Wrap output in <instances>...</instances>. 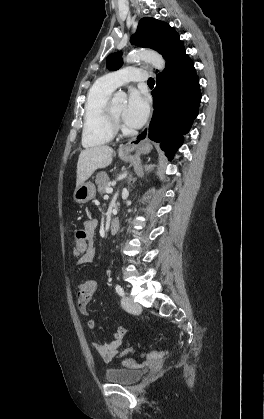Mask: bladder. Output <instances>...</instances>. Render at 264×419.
Listing matches in <instances>:
<instances>
[{
    "label": "bladder",
    "mask_w": 264,
    "mask_h": 419,
    "mask_svg": "<svg viewBox=\"0 0 264 419\" xmlns=\"http://www.w3.org/2000/svg\"><path fill=\"white\" fill-rule=\"evenodd\" d=\"M144 375L140 368L125 364L121 367L108 368L105 371V379L110 383L120 385H132L137 383Z\"/></svg>",
    "instance_id": "1"
}]
</instances>
